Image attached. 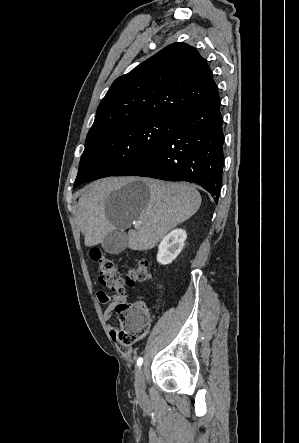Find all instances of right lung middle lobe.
Masks as SVG:
<instances>
[{"label": "right lung middle lobe", "instance_id": "right-lung-middle-lobe-1", "mask_svg": "<svg viewBox=\"0 0 299 443\" xmlns=\"http://www.w3.org/2000/svg\"><path fill=\"white\" fill-rule=\"evenodd\" d=\"M175 127L173 117H153L124 123L87 137L74 187L117 176L149 155Z\"/></svg>", "mask_w": 299, "mask_h": 443}]
</instances>
